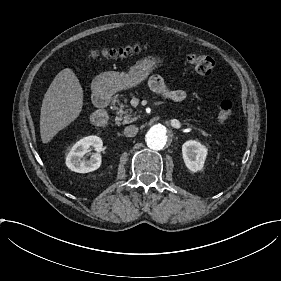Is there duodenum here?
<instances>
[{
    "label": "duodenum",
    "instance_id": "1",
    "mask_svg": "<svg viewBox=\"0 0 281 281\" xmlns=\"http://www.w3.org/2000/svg\"><path fill=\"white\" fill-rule=\"evenodd\" d=\"M93 102L96 110L92 115V122L97 127H105L109 121L107 107L110 102V95L105 90H97L93 95Z\"/></svg>",
    "mask_w": 281,
    "mask_h": 281
}]
</instances>
